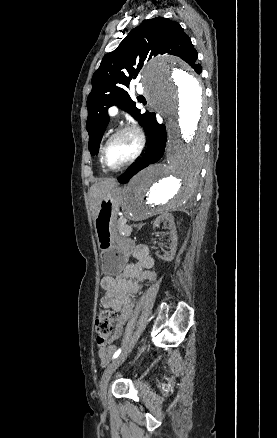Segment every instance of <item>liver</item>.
Returning <instances> with one entry per match:
<instances>
[{
    "instance_id": "1",
    "label": "liver",
    "mask_w": 277,
    "mask_h": 438,
    "mask_svg": "<svg viewBox=\"0 0 277 438\" xmlns=\"http://www.w3.org/2000/svg\"><path fill=\"white\" fill-rule=\"evenodd\" d=\"M116 186L117 182H115V180H107V182H101V184H94V186H91V202L94 220L98 214L99 202H101V198H103L104 194L111 192V190L116 188Z\"/></svg>"
}]
</instances>
